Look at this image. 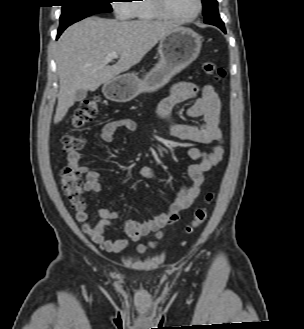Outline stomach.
<instances>
[{"label": "stomach", "instance_id": "stomach-1", "mask_svg": "<svg viewBox=\"0 0 304 329\" xmlns=\"http://www.w3.org/2000/svg\"><path fill=\"white\" fill-rule=\"evenodd\" d=\"M201 45V37L192 29L175 28L160 40V59L143 79L132 73L118 76L104 84L102 91L105 97L124 103L141 93L158 90L198 57Z\"/></svg>", "mask_w": 304, "mask_h": 329}]
</instances>
